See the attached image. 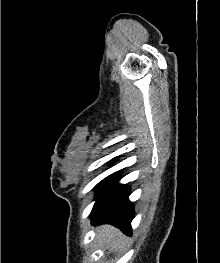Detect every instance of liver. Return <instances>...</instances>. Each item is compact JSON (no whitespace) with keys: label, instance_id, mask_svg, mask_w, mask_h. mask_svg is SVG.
<instances>
[{"label":"liver","instance_id":"6515ba94","mask_svg":"<svg viewBox=\"0 0 220 263\" xmlns=\"http://www.w3.org/2000/svg\"><path fill=\"white\" fill-rule=\"evenodd\" d=\"M97 237L101 244L112 252L120 249L126 240L120 230L111 225L100 226Z\"/></svg>","mask_w":220,"mask_h":263}]
</instances>
